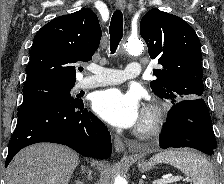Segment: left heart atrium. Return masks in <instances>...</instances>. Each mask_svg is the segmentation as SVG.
Segmentation results:
<instances>
[{
    "instance_id": "obj_1",
    "label": "left heart atrium",
    "mask_w": 224,
    "mask_h": 184,
    "mask_svg": "<svg viewBox=\"0 0 224 184\" xmlns=\"http://www.w3.org/2000/svg\"><path fill=\"white\" fill-rule=\"evenodd\" d=\"M93 108L106 122L120 128H131L140 119L139 96L115 88L98 92L93 99Z\"/></svg>"
}]
</instances>
